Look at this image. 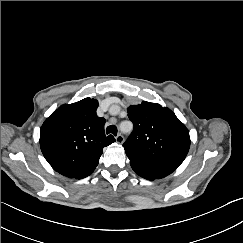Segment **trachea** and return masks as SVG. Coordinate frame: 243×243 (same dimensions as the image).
I'll return each mask as SVG.
<instances>
[{
    "instance_id": "1",
    "label": "trachea",
    "mask_w": 243,
    "mask_h": 243,
    "mask_svg": "<svg viewBox=\"0 0 243 243\" xmlns=\"http://www.w3.org/2000/svg\"><path fill=\"white\" fill-rule=\"evenodd\" d=\"M106 133L107 134H113V135L116 136L117 135V127L114 126V125L108 126L107 129H106Z\"/></svg>"
}]
</instances>
